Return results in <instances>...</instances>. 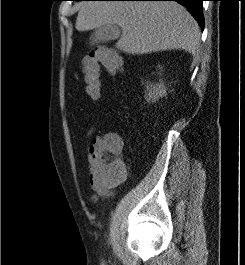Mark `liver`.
<instances>
[{
  "instance_id": "obj_1",
  "label": "liver",
  "mask_w": 245,
  "mask_h": 265,
  "mask_svg": "<svg viewBox=\"0 0 245 265\" xmlns=\"http://www.w3.org/2000/svg\"><path fill=\"white\" fill-rule=\"evenodd\" d=\"M118 25L116 47L129 54L183 49L192 55L200 45V29L191 14L173 1H86L79 4L76 29Z\"/></svg>"
}]
</instances>
